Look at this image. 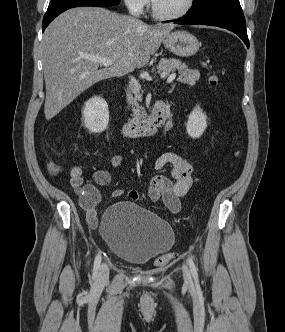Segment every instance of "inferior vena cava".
I'll list each match as a JSON object with an SVG mask.
<instances>
[{"instance_id":"1","label":"inferior vena cava","mask_w":285,"mask_h":332,"mask_svg":"<svg viewBox=\"0 0 285 332\" xmlns=\"http://www.w3.org/2000/svg\"><path fill=\"white\" fill-rule=\"evenodd\" d=\"M127 98H128V102H132V100H133V97L130 95V94H127Z\"/></svg>"}]
</instances>
